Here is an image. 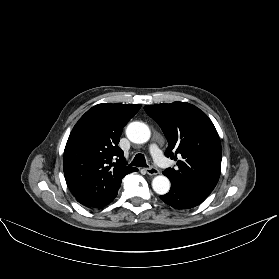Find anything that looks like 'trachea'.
Returning <instances> with one entry per match:
<instances>
[{"label":"trachea","instance_id":"1","mask_svg":"<svg viewBox=\"0 0 279 279\" xmlns=\"http://www.w3.org/2000/svg\"><path fill=\"white\" fill-rule=\"evenodd\" d=\"M131 166H137V167H148L146 164V160L143 154L139 153L137 154L133 161L130 164Z\"/></svg>","mask_w":279,"mask_h":279}]
</instances>
